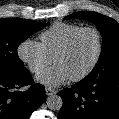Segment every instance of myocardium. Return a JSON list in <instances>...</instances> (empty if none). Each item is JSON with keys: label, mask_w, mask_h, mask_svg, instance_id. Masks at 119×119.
Masks as SVG:
<instances>
[{"label": "myocardium", "mask_w": 119, "mask_h": 119, "mask_svg": "<svg viewBox=\"0 0 119 119\" xmlns=\"http://www.w3.org/2000/svg\"><path fill=\"white\" fill-rule=\"evenodd\" d=\"M85 32H92L95 34L96 38H97V52L96 55L92 61V63L89 65V67L82 72L81 74L70 78L71 81L73 82H79L84 80L85 78H87L93 71L94 69L97 67L102 53H103V38L102 35L100 33V31L94 27H82L81 29H79L78 31H76L68 40L67 42L63 45V47L55 54V56L53 57V62L55 63L56 59L59 58L60 56L65 55L66 53H68L70 51V49L72 48L73 44L75 43V41L77 40V38L85 33Z\"/></svg>", "instance_id": "1"}]
</instances>
